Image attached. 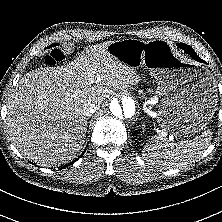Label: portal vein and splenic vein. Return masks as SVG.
Wrapping results in <instances>:
<instances>
[{
  "mask_svg": "<svg viewBox=\"0 0 222 222\" xmlns=\"http://www.w3.org/2000/svg\"><path fill=\"white\" fill-rule=\"evenodd\" d=\"M160 133H161L163 136L167 137V140H168L169 142H171L172 145H174V143H175V138H174V136H173L172 134L167 133L166 131H163V130H161Z\"/></svg>",
  "mask_w": 222,
  "mask_h": 222,
  "instance_id": "obj_1",
  "label": "portal vein and splenic vein"
}]
</instances>
